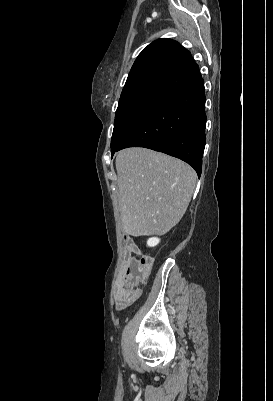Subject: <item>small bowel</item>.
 I'll return each mask as SVG.
<instances>
[{"instance_id":"obj_1","label":"small bowel","mask_w":273,"mask_h":401,"mask_svg":"<svg viewBox=\"0 0 273 401\" xmlns=\"http://www.w3.org/2000/svg\"><path fill=\"white\" fill-rule=\"evenodd\" d=\"M134 251L133 245L129 246V256H132ZM147 280H140L142 284L146 283ZM142 292L140 290H121L119 295L116 296V305L118 309H123L130 304H140Z\"/></svg>"}]
</instances>
